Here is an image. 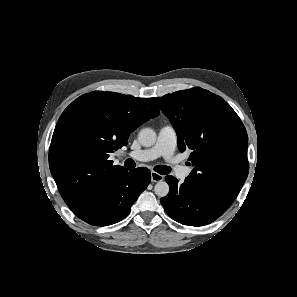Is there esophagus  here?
<instances>
[{"mask_svg":"<svg viewBox=\"0 0 297 297\" xmlns=\"http://www.w3.org/2000/svg\"><path fill=\"white\" fill-rule=\"evenodd\" d=\"M164 179V176L161 174H158L157 172H151V181L152 182H160Z\"/></svg>","mask_w":297,"mask_h":297,"instance_id":"1","label":"esophagus"}]
</instances>
